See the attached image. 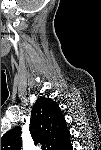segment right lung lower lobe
<instances>
[{"instance_id":"1","label":"right lung lower lobe","mask_w":101,"mask_h":150,"mask_svg":"<svg viewBox=\"0 0 101 150\" xmlns=\"http://www.w3.org/2000/svg\"><path fill=\"white\" fill-rule=\"evenodd\" d=\"M64 150H72V145L70 142L67 145H65Z\"/></svg>"}]
</instances>
